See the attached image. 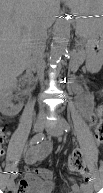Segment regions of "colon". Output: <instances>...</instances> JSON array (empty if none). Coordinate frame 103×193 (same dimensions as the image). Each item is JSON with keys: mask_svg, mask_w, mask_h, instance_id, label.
I'll return each instance as SVG.
<instances>
[{"mask_svg": "<svg viewBox=\"0 0 103 193\" xmlns=\"http://www.w3.org/2000/svg\"><path fill=\"white\" fill-rule=\"evenodd\" d=\"M103 107L98 106L96 109V114L92 116V123L95 126V142L97 145H101L103 143ZM6 137V131L2 130L0 135V146L3 145ZM2 153V150H1ZM85 158L79 150H76L72 153L69 159V169L74 173H81L85 170Z\"/></svg>", "mask_w": 103, "mask_h": 193, "instance_id": "1", "label": "colon"}]
</instances>
